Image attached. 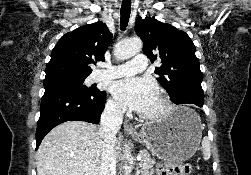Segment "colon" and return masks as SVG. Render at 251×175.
I'll list each match as a JSON object with an SVG mask.
<instances>
[{
	"mask_svg": "<svg viewBox=\"0 0 251 175\" xmlns=\"http://www.w3.org/2000/svg\"><path fill=\"white\" fill-rule=\"evenodd\" d=\"M158 175H191L194 171L192 164L180 160L161 161L157 164Z\"/></svg>",
	"mask_w": 251,
	"mask_h": 175,
	"instance_id": "5ec220e1",
	"label": "colon"
}]
</instances>
